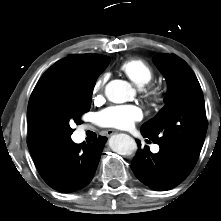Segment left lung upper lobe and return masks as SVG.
Masks as SVG:
<instances>
[{"label":"left lung upper lobe","instance_id":"5c2ea615","mask_svg":"<svg viewBox=\"0 0 221 221\" xmlns=\"http://www.w3.org/2000/svg\"><path fill=\"white\" fill-rule=\"evenodd\" d=\"M154 61L168 83L166 105L142 125L141 132L154 143L175 148L197 162L207 130L200 84L188 64L176 55L162 53Z\"/></svg>","mask_w":221,"mask_h":221}]
</instances>
